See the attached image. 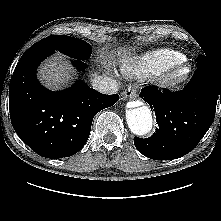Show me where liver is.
<instances>
[{
	"label": "liver",
	"instance_id": "liver-1",
	"mask_svg": "<svg viewBox=\"0 0 221 221\" xmlns=\"http://www.w3.org/2000/svg\"><path fill=\"white\" fill-rule=\"evenodd\" d=\"M121 51H118L120 54ZM70 64L61 54L48 59L39 69L40 80L50 89L58 90L73 78Z\"/></svg>",
	"mask_w": 221,
	"mask_h": 221
}]
</instances>
